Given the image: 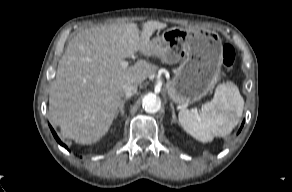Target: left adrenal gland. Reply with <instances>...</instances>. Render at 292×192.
I'll return each instance as SVG.
<instances>
[{
	"mask_svg": "<svg viewBox=\"0 0 292 192\" xmlns=\"http://www.w3.org/2000/svg\"><path fill=\"white\" fill-rule=\"evenodd\" d=\"M170 107L172 109V122H177V118H176V114H175V110H174V106L172 103H170Z\"/></svg>",
	"mask_w": 292,
	"mask_h": 192,
	"instance_id": "obj_1",
	"label": "left adrenal gland"
}]
</instances>
